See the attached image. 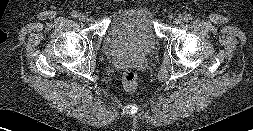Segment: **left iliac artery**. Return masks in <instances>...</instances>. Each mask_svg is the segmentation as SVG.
<instances>
[{
  "instance_id": "obj_1",
  "label": "left iliac artery",
  "mask_w": 253,
  "mask_h": 131,
  "mask_svg": "<svg viewBox=\"0 0 253 131\" xmlns=\"http://www.w3.org/2000/svg\"><path fill=\"white\" fill-rule=\"evenodd\" d=\"M192 15L191 14H185L184 15V17H183V20L185 21V22H188V21H190V20H192Z\"/></svg>"
}]
</instances>
